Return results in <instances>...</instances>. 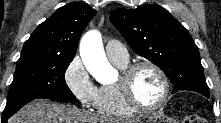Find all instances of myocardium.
Wrapping results in <instances>:
<instances>
[{"label":"myocardium","instance_id":"1","mask_svg":"<svg viewBox=\"0 0 221 123\" xmlns=\"http://www.w3.org/2000/svg\"><path fill=\"white\" fill-rule=\"evenodd\" d=\"M143 68H151L160 76L162 80L163 84L162 97L159 100V102L153 106H144L140 104L133 94L132 90L133 78L135 74ZM117 87L125 103L135 112L150 113L157 111L167 103L170 95V82L167 74L160 66H158L157 64L151 61L137 62L124 68L121 71L120 78L117 82Z\"/></svg>","mask_w":221,"mask_h":123}]
</instances>
